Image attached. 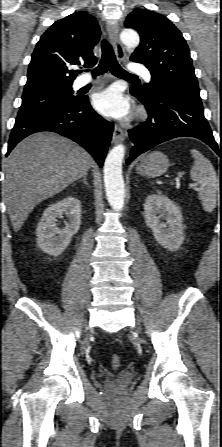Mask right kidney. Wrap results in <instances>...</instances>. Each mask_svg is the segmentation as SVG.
Returning a JSON list of instances; mask_svg holds the SVG:
<instances>
[{
  "instance_id": "obj_1",
  "label": "right kidney",
  "mask_w": 222,
  "mask_h": 447,
  "mask_svg": "<svg viewBox=\"0 0 222 447\" xmlns=\"http://www.w3.org/2000/svg\"><path fill=\"white\" fill-rule=\"evenodd\" d=\"M68 217L65 228L56 226L57 218ZM81 225V202L72 196H68L54 204H51L43 213L37 229V244L39 248L52 256L60 255L70 244L71 238L76 234Z\"/></svg>"
}]
</instances>
